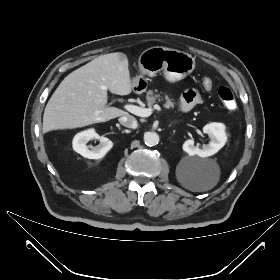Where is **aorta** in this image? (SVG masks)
<instances>
[{
	"label": "aorta",
	"mask_w": 280,
	"mask_h": 280,
	"mask_svg": "<svg viewBox=\"0 0 280 280\" xmlns=\"http://www.w3.org/2000/svg\"><path fill=\"white\" fill-rule=\"evenodd\" d=\"M144 143L147 146H155L159 143V135L156 132H147L144 135Z\"/></svg>",
	"instance_id": "762f6f07"
}]
</instances>
